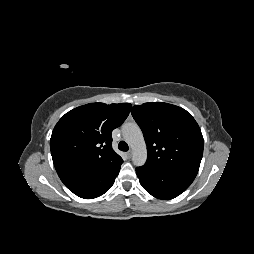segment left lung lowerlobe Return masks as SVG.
I'll use <instances>...</instances> for the list:
<instances>
[{"instance_id":"left-lung-lower-lobe-1","label":"left lung lower lobe","mask_w":254,"mask_h":254,"mask_svg":"<svg viewBox=\"0 0 254 254\" xmlns=\"http://www.w3.org/2000/svg\"><path fill=\"white\" fill-rule=\"evenodd\" d=\"M136 174L142 187L152 196L169 200L183 193L194 178L166 173L147 165L136 168Z\"/></svg>"}]
</instances>
